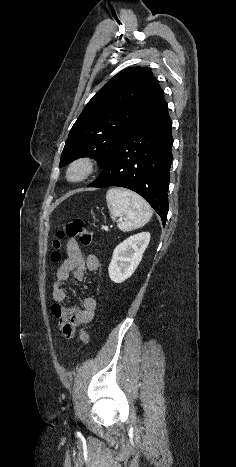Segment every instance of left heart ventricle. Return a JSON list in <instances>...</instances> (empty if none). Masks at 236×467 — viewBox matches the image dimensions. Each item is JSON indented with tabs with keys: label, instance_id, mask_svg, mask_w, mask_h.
<instances>
[{
	"label": "left heart ventricle",
	"instance_id": "b2bd125f",
	"mask_svg": "<svg viewBox=\"0 0 236 467\" xmlns=\"http://www.w3.org/2000/svg\"><path fill=\"white\" fill-rule=\"evenodd\" d=\"M78 174V172H74V175L76 176Z\"/></svg>",
	"mask_w": 236,
	"mask_h": 467
}]
</instances>
